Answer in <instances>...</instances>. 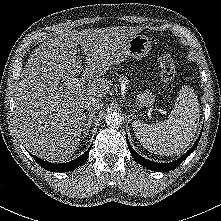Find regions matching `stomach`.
I'll return each mask as SVG.
<instances>
[{
  "label": "stomach",
  "instance_id": "1",
  "mask_svg": "<svg viewBox=\"0 0 221 221\" xmlns=\"http://www.w3.org/2000/svg\"><path fill=\"white\" fill-rule=\"evenodd\" d=\"M151 47L152 42L148 37L145 35H134L117 54L115 64H119L127 57H132L134 59L142 58L148 54ZM154 101L155 96L150 88L136 96V103L140 108L150 106Z\"/></svg>",
  "mask_w": 221,
  "mask_h": 221
}]
</instances>
